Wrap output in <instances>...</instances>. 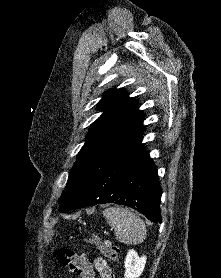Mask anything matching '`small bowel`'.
<instances>
[{
	"instance_id": "small-bowel-1",
	"label": "small bowel",
	"mask_w": 221,
	"mask_h": 278,
	"mask_svg": "<svg viewBox=\"0 0 221 278\" xmlns=\"http://www.w3.org/2000/svg\"><path fill=\"white\" fill-rule=\"evenodd\" d=\"M84 259L91 267L92 273L93 269H95L100 273L102 278H111L112 272L105 259L96 258L93 262L88 261L86 257H84Z\"/></svg>"
}]
</instances>
